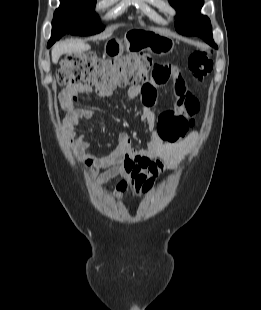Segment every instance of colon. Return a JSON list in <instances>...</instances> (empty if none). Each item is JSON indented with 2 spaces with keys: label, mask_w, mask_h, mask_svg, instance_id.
Here are the masks:
<instances>
[{
  "label": "colon",
  "mask_w": 261,
  "mask_h": 310,
  "mask_svg": "<svg viewBox=\"0 0 261 310\" xmlns=\"http://www.w3.org/2000/svg\"><path fill=\"white\" fill-rule=\"evenodd\" d=\"M151 59L146 54H127L118 59H104L92 53H72L61 63L57 79L61 85H84L101 90H113L146 83ZM188 69L197 82L213 70L211 52L198 48L188 58ZM69 101L63 107H69Z\"/></svg>",
  "instance_id": "obj_1"
}]
</instances>
